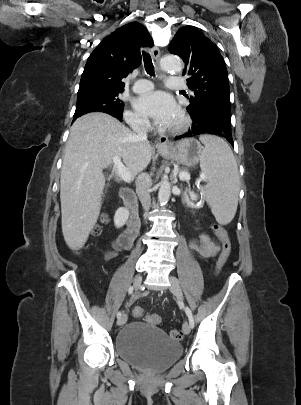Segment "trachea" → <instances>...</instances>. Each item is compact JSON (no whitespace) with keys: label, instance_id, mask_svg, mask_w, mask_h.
<instances>
[{"label":"trachea","instance_id":"obj_1","mask_svg":"<svg viewBox=\"0 0 301 405\" xmlns=\"http://www.w3.org/2000/svg\"><path fill=\"white\" fill-rule=\"evenodd\" d=\"M142 53H143L144 67L147 74L154 75V66L150 54L147 53L146 51H143Z\"/></svg>","mask_w":301,"mask_h":405}]
</instances>
